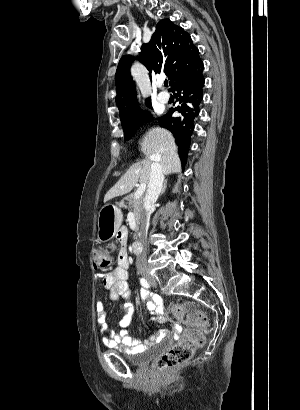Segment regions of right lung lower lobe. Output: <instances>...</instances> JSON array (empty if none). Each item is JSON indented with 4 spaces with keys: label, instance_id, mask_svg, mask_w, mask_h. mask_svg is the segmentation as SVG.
<instances>
[{
    "label": "right lung lower lobe",
    "instance_id": "1",
    "mask_svg": "<svg viewBox=\"0 0 300 410\" xmlns=\"http://www.w3.org/2000/svg\"><path fill=\"white\" fill-rule=\"evenodd\" d=\"M204 82L203 62L199 58L171 85V90L174 92L178 104L158 119L162 127L173 133L179 146L178 150L182 164H185L189 151L185 152L184 148L190 146L194 121L199 115Z\"/></svg>",
    "mask_w": 300,
    "mask_h": 410
}]
</instances>
